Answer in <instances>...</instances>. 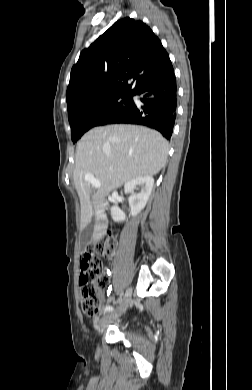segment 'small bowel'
<instances>
[{
  "mask_svg": "<svg viewBox=\"0 0 252 390\" xmlns=\"http://www.w3.org/2000/svg\"><path fill=\"white\" fill-rule=\"evenodd\" d=\"M101 296L104 298V294L102 292H101ZM114 301H115V297L113 295H110V296H108L106 302L109 304V303L114 302Z\"/></svg>",
  "mask_w": 252,
  "mask_h": 390,
  "instance_id": "obj_1",
  "label": "small bowel"
}]
</instances>
